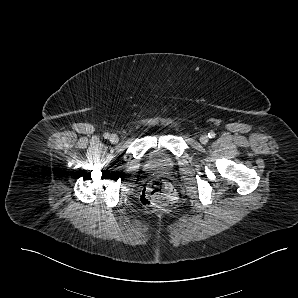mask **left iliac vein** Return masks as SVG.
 Listing matches in <instances>:
<instances>
[{
    "mask_svg": "<svg viewBox=\"0 0 298 298\" xmlns=\"http://www.w3.org/2000/svg\"><path fill=\"white\" fill-rule=\"evenodd\" d=\"M199 140L202 144H206L209 141V138L207 135H202Z\"/></svg>",
    "mask_w": 298,
    "mask_h": 298,
    "instance_id": "1",
    "label": "left iliac vein"
}]
</instances>
